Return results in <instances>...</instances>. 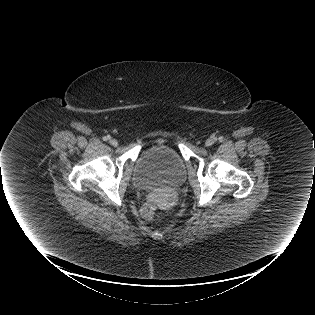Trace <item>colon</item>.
Returning a JSON list of instances; mask_svg holds the SVG:
<instances>
[{
	"label": "colon",
	"instance_id": "colon-1",
	"mask_svg": "<svg viewBox=\"0 0 315 315\" xmlns=\"http://www.w3.org/2000/svg\"><path fill=\"white\" fill-rule=\"evenodd\" d=\"M142 216L150 221L159 220L157 215V207L156 204L152 201L145 203L141 209Z\"/></svg>",
	"mask_w": 315,
	"mask_h": 315
}]
</instances>
